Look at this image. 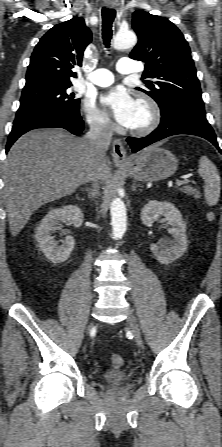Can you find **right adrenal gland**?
I'll list each match as a JSON object with an SVG mask.
<instances>
[{
    "mask_svg": "<svg viewBox=\"0 0 222 447\" xmlns=\"http://www.w3.org/2000/svg\"><path fill=\"white\" fill-rule=\"evenodd\" d=\"M81 190L87 192V194H88V198L91 199V200H93L94 198H96V196H97V194H98V193H97V190H96V188H95L94 185H92L91 188H87V187H85V188H82Z\"/></svg>",
    "mask_w": 222,
    "mask_h": 447,
    "instance_id": "obj_1",
    "label": "right adrenal gland"
}]
</instances>
